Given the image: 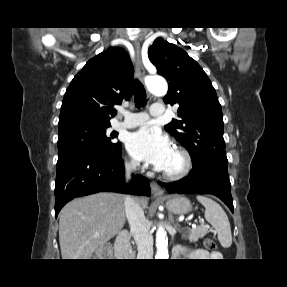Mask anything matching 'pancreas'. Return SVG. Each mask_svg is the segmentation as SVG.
<instances>
[{
    "label": "pancreas",
    "mask_w": 287,
    "mask_h": 287,
    "mask_svg": "<svg viewBox=\"0 0 287 287\" xmlns=\"http://www.w3.org/2000/svg\"><path fill=\"white\" fill-rule=\"evenodd\" d=\"M189 232V241L190 242H197L199 238H203L208 233L207 226H197L194 228L188 229Z\"/></svg>",
    "instance_id": "pancreas-1"
}]
</instances>
